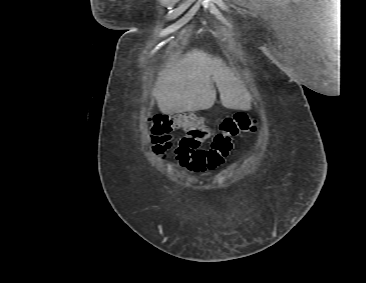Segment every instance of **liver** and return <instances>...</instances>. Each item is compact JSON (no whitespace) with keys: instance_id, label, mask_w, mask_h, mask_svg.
Instances as JSON below:
<instances>
[{"instance_id":"liver-1","label":"liver","mask_w":366,"mask_h":283,"mask_svg":"<svg viewBox=\"0 0 366 283\" xmlns=\"http://www.w3.org/2000/svg\"><path fill=\"white\" fill-rule=\"evenodd\" d=\"M228 109L249 110L251 95L222 59L193 49L163 70L154 95L163 114L209 109L216 100Z\"/></svg>"}]
</instances>
